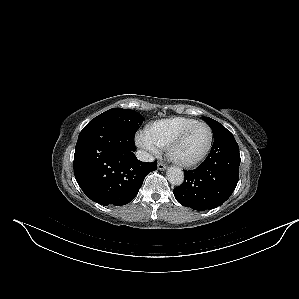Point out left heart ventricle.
Instances as JSON below:
<instances>
[{
	"label": "left heart ventricle",
	"mask_w": 299,
	"mask_h": 299,
	"mask_svg": "<svg viewBox=\"0 0 299 299\" xmlns=\"http://www.w3.org/2000/svg\"><path fill=\"white\" fill-rule=\"evenodd\" d=\"M208 140V129L202 125L196 126L175 149V155L182 160H192L204 151Z\"/></svg>",
	"instance_id": "b2bd125f"
}]
</instances>
